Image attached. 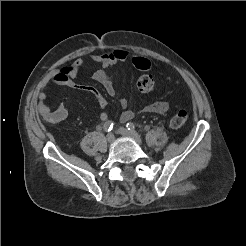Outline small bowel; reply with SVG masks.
Segmentation results:
<instances>
[{"instance_id":"small-bowel-1","label":"small bowel","mask_w":246,"mask_h":246,"mask_svg":"<svg viewBox=\"0 0 246 246\" xmlns=\"http://www.w3.org/2000/svg\"><path fill=\"white\" fill-rule=\"evenodd\" d=\"M128 57L129 53L123 49H117L104 54H92L90 56L92 61L99 63L102 66L101 69H98L93 73V79L105 88L109 96L118 99L121 107L123 108V112L120 115V120L122 122H126L134 118L136 112L128 109L127 100L118 96L114 86V79L107 73L106 70L119 62L126 61ZM82 64L83 60L77 59L73 63L63 68L54 70L42 81L38 93V103L36 109L46 122L56 124L65 120L68 116V110L65 106L60 105L52 109L46 103V88L50 84L67 86L73 89L91 93L95 97L99 107L102 109V112L100 113V119L105 122L108 120V114L105 111L108 102L102 93L91 85H82L75 81V78L77 77ZM168 109L169 106L166 102L157 101L145 106L141 112L150 114H163L167 112Z\"/></svg>"}]
</instances>
